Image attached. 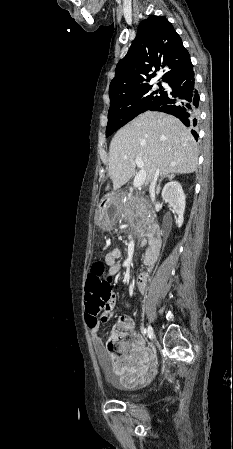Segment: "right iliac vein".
<instances>
[{"label": "right iliac vein", "mask_w": 233, "mask_h": 449, "mask_svg": "<svg viewBox=\"0 0 233 449\" xmlns=\"http://www.w3.org/2000/svg\"><path fill=\"white\" fill-rule=\"evenodd\" d=\"M148 330H149V334H150V339H153V338H154V332H153L152 327L149 326V327H148Z\"/></svg>", "instance_id": "obj_1"}]
</instances>
